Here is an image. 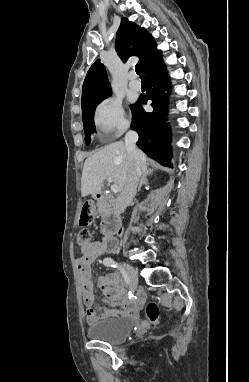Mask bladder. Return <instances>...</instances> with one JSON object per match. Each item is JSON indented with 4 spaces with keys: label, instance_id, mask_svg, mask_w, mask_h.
I'll return each instance as SVG.
<instances>
[{
    "label": "bladder",
    "instance_id": "1",
    "mask_svg": "<svg viewBox=\"0 0 249 382\" xmlns=\"http://www.w3.org/2000/svg\"><path fill=\"white\" fill-rule=\"evenodd\" d=\"M134 329V321L129 317H109L91 324L87 334L92 340L112 345L128 339Z\"/></svg>",
    "mask_w": 249,
    "mask_h": 382
}]
</instances>
